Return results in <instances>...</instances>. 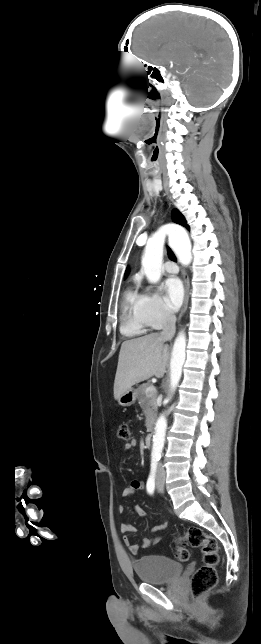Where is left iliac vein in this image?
<instances>
[{
  "mask_svg": "<svg viewBox=\"0 0 261 644\" xmlns=\"http://www.w3.org/2000/svg\"><path fill=\"white\" fill-rule=\"evenodd\" d=\"M163 489H164V482L161 478H159L157 481V490L159 492H163Z\"/></svg>",
  "mask_w": 261,
  "mask_h": 644,
  "instance_id": "4c4485c4",
  "label": "left iliac vein"
}]
</instances>
